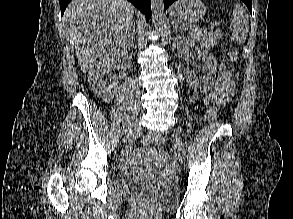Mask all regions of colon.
<instances>
[{"instance_id":"5ec220e1","label":"colon","mask_w":293,"mask_h":219,"mask_svg":"<svg viewBox=\"0 0 293 219\" xmlns=\"http://www.w3.org/2000/svg\"><path fill=\"white\" fill-rule=\"evenodd\" d=\"M229 58L232 62L238 63L239 62V55L237 48H231L229 51ZM219 111V105H213L207 111V120L212 121ZM145 143L148 145H154L157 147H162L165 144V140L159 133H150L146 139Z\"/></svg>"}]
</instances>
